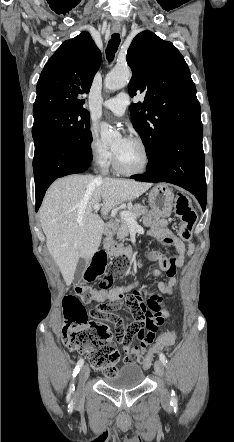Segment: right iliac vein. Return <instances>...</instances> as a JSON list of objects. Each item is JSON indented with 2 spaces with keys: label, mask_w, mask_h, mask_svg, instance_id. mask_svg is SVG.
I'll return each instance as SVG.
<instances>
[{
  "label": "right iliac vein",
  "mask_w": 234,
  "mask_h": 442,
  "mask_svg": "<svg viewBox=\"0 0 234 442\" xmlns=\"http://www.w3.org/2000/svg\"><path fill=\"white\" fill-rule=\"evenodd\" d=\"M90 374V368L88 365H84L81 370H80V374H79V385H78V390H77V397L81 398L83 393H84V386H85V382L88 379Z\"/></svg>",
  "instance_id": "63e3f726"
}]
</instances>
